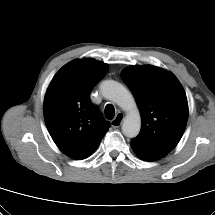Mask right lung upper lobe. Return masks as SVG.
<instances>
[{
    "label": "right lung upper lobe",
    "mask_w": 215,
    "mask_h": 215,
    "mask_svg": "<svg viewBox=\"0 0 215 215\" xmlns=\"http://www.w3.org/2000/svg\"><path fill=\"white\" fill-rule=\"evenodd\" d=\"M107 70V64L94 59L74 60L58 71L47 89L46 126L58 148L73 159L90 156L110 127L90 101Z\"/></svg>",
    "instance_id": "obj_1"
}]
</instances>
